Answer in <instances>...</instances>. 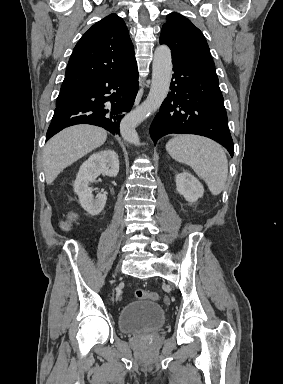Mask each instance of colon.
I'll list each match as a JSON object with an SVG mask.
<instances>
[{
	"mask_svg": "<svg viewBox=\"0 0 283 384\" xmlns=\"http://www.w3.org/2000/svg\"><path fill=\"white\" fill-rule=\"evenodd\" d=\"M135 296L136 298L141 300L143 299L157 300L158 299L157 293L151 292L145 289H137L135 291Z\"/></svg>",
	"mask_w": 283,
	"mask_h": 384,
	"instance_id": "obj_1",
	"label": "colon"
}]
</instances>
